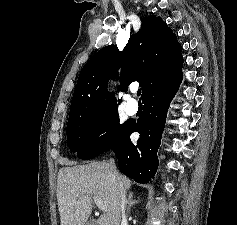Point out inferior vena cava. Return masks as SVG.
Instances as JSON below:
<instances>
[{"instance_id":"1","label":"inferior vena cava","mask_w":237,"mask_h":225,"mask_svg":"<svg viewBox=\"0 0 237 225\" xmlns=\"http://www.w3.org/2000/svg\"><path fill=\"white\" fill-rule=\"evenodd\" d=\"M109 166L110 169L113 173L114 176H116L118 178L119 173L116 170V165H115V161L114 159H110L109 160ZM118 194H119V199H120V213H121V218H122V222L126 220V214H125V206H126V192L124 189L119 188L118 190ZM123 225V224H121Z\"/></svg>"}]
</instances>
